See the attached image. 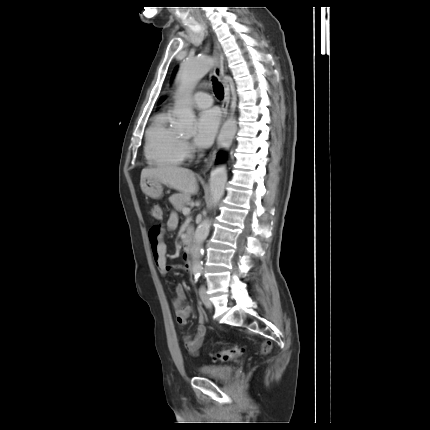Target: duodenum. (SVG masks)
Returning a JSON list of instances; mask_svg holds the SVG:
<instances>
[{"label": "duodenum", "instance_id": "obj_1", "mask_svg": "<svg viewBox=\"0 0 430 430\" xmlns=\"http://www.w3.org/2000/svg\"><path fill=\"white\" fill-rule=\"evenodd\" d=\"M192 250V236L187 234L183 240V251L188 254Z\"/></svg>", "mask_w": 430, "mask_h": 430}]
</instances>
